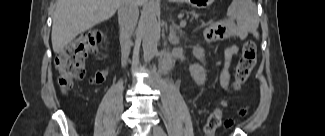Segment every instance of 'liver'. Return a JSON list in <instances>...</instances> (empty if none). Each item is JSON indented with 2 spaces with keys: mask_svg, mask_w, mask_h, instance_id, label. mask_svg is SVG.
I'll list each match as a JSON object with an SVG mask.
<instances>
[{
  "mask_svg": "<svg viewBox=\"0 0 325 136\" xmlns=\"http://www.w3.org/2000/svg\"><path fill=\"white\" fill-rule=\"evenodd\" d=\"M122 0H57L53 14L52 47L60 52L77 35L111 18Z\"/></svg>",
  "mask_w": 325,
  "mask_h": 136,
  "instance_id": "6515ba94",
  "label": "liver"
}]
</instances>
